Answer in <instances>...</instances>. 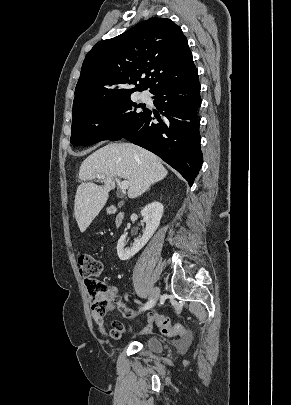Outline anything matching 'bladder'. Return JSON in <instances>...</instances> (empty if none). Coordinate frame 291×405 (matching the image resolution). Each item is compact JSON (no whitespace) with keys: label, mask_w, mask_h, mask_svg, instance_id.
<instances>
[{"label":"bladder","mask_w":291,"mask_h":405,"mask_svg":"<svg viewBox=\"0 0 291 405\" xmlns=\"http://www.w3.org/2000/svg\"><path fill=\"white\" fill-rule=\"evenodd\" d=\"M146 350L152 353H160L163 350L162 342L156 337H149L143 342Z\"/></svg>","instance_id":"1"}]
</instances>
